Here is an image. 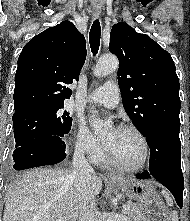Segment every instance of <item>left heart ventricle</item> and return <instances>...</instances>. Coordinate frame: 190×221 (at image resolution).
Returning <instances> with one entry per match:
<instances>
[{
    "label": "left heart ventricle",
    "instance_id": "1",
    "mask_svg": "<svg viewBox=\"0 0 190 221\" xmlns=\"http://www.w3.org/2000/svg\"><path fill=\"white\" fill-rule=\"evenodd\" d=\"M103 140L123 164L136 166L142 161L144 147L135 133L112 128L105 134Z\"/></svg>",
    "mask_w": 190,
    "mask_h": 221
}]
</instances>
